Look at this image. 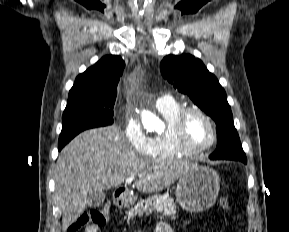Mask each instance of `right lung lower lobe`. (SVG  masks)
Listing matches in <instances>:
<instances>
[{
    "instance_id": "obj_1",
    "label": "right lung lower lobe",
    "mask_w": 289,
    "mask_h": 232,
    "mask_svg": "<svg viewBox=\"0 0 289 232\" xmlns=\"http://www.w3.org/2000/svg\"><path fill=\"white\" fill-rule=\"evenodd\" d=\"M63 147H58L59 150H61Z\"/></svg>"
}]
</instances>
